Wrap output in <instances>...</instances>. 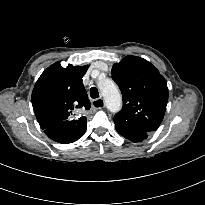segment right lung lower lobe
<instances>
[{
	"label": "right lung lower lobe",
	"instance_id": "98d812e1",
	"mask_svg": "<svg viewBox=\"0 0 205 205\" xmlns=\"http://www.w3.org/2000/svg\"><path fill=\"white\" fill-rule=\"evenodd\" d=\"M57 128L56 127H50L44 130L45 134L50 137L52 140L63 143L60 139H57V136L54 135L56 133Z\"/></svg>",
	"mask_w": 205,
	"mask_h": 205
}]
</instances>
